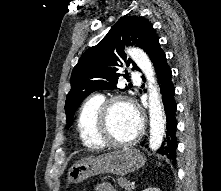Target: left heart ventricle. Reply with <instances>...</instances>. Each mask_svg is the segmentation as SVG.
<instances>
[{
  "instance_id": "left-heart-ventricle-1",
  "label": "left heart ventricle",
  "mask_w": 221,
  "mask_h": 191,
  "mask_svg": "<svg viewBox=\"0 0 221 191\" xmlns=\"http://www.w3.org/2000/svg\"><path fill=\"white\" fill-rule=\"evenodd\" d=\"M139 127L137 113L128 105L117 104L110 115V131L113 139L126 141L131 139Z\"/></svg>"
}]
</instances>
